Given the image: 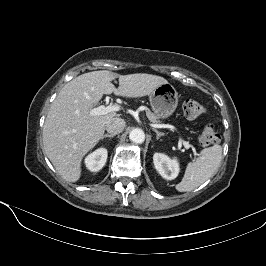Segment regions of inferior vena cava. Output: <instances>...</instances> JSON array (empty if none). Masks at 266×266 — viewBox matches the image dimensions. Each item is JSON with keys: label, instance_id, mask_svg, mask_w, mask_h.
I'll return each mask as SVG.
<instances>
[{"label": "inferior vena cava", "instance_id": "602c4592", "mask_svg": "<svg viewBox=\"0 0 266 266\" xmlns=\"http://www.w3.org/2000/svg\"><path fill=\"white\" fill-rule=\"evenodd\" d=\"M125 127V121L122 118H112L106 124V130L110 134H118L123 131Z\"/></svg>", "mask_w": 266, "mask_h": 266}]
</instances>
